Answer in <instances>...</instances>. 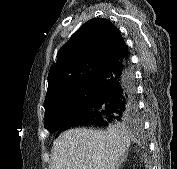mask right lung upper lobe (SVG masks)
Instances as JSON below:
<instances>
[{
    "label": "right lung upper lobe",
    "instance_id": "cb5924a9",
    "mask_svg": "<svg viewBox=\"0 0 177 169\" xmlns=\"http://www.w3.org/2000/svg\"><path fill=\"white\" fill-rule=\"evenodd\" d=\"M127 53L125 41L114 24L104 18L90 19L59 50L57 62L48 74L44 107L65 100Z\"/></svg>",
    "mask_w": 177,
    "mask_h": 169
}]
</instances>
